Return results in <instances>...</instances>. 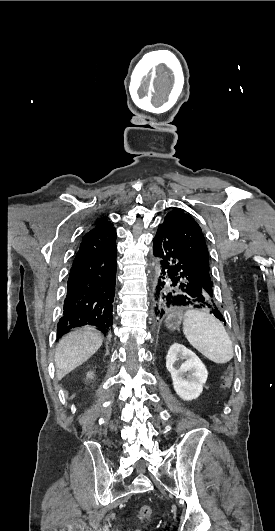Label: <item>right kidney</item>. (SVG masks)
<instances>
[{"mask_svg":"<svg viewBox=\"0 0 275 531\" xmlns=\"http://www.w3.org/2000/svg\"><path fill=\"white\" fill-rule=\"evenodd\" d=\"M91 375H92V373H88V377H90V379H92Z\"/></svg>","mask_w":275,"mask_h":531,"instance_id":"right-kidney-1","label":"right kidney"}]
</instances>
